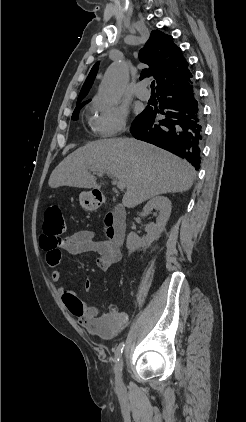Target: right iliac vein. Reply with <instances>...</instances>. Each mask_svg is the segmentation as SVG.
I'll use <instances>...</instances> for the list:
<instances>
[{"instance_id": "right-iliac-vein-1", "label": "right iliac vein", "mask_w": 246, "mask_h": 422, "mask_svg": "<svg viewBox=\"0 0 246 422\" xmlns=\"http://www.w3.org/2000/svg\"><path fill=\"white\" fill-rule=\"evenodd\" d=\"M122 368H123V359H120L115 366V374L117 378L118 387L122 386Z\"/></svg>"}]
</instances>
